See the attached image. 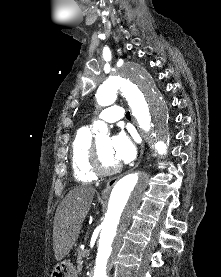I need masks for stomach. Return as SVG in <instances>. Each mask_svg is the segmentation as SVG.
Instances as JSON below:
<instances>
[{"label":"stomach","instance_id":"stomach-1","mask_svg":"<svg viewBox=\"0 0 221 277\" xmlns=\"http://www.w3.org/2000/svg\"><path fill=\"white\" fill-rule=\"evenodd\" d=\"M76 267L69 261L64 260L54 267L51 277H77Z\"/></svg>","mask_w":221,"mask_h":277}]
</instances>
